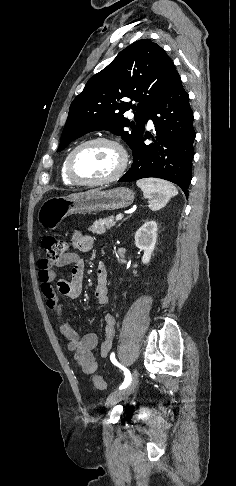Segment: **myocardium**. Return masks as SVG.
<instances>
[{
  "label": "myocardium",
  "mask_w": 236,
  "mask_h": 486,
  "mask_svg": "<svg viewBox=\"0 0 236 486\" xmlns=\"http://www.w3.org/2000/svg\"><path fill=\"white\" fill-rule=\"evenodd\" d=\"M98 143H104V144H109L113 147H115L121 156V162L119 165V168L110 176L102 179H97V180H84L80 177H78L73 169V163L76 155L78 154L79 151H81L83 148L98 144ZM128 166V154L126 149L123 147V145L118 142L115 139L112 138H107V137H98V138H93L90 140H87L79 145H77L68 155L67 161H66V174L67 177L70 179L71 182H73L76 185H81V186H99V185H105L112 183L114 181H117L120 179L123 174L125 173L126 169Z\"/></svg>",
  "instance_id": "f54148a6"
}]
</instances>
